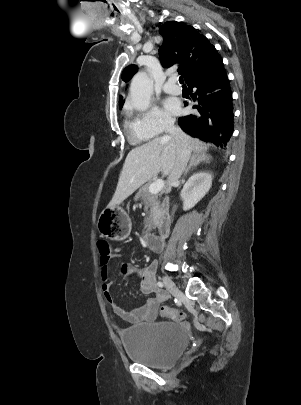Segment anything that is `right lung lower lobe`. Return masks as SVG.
Returning a JSON list of instances; mask_svg holds the SVG:
<instances>
[{
  "instance_id": "right-lung-lower-lobe-1",
  "label": "right lung lower lobe",
  "mask_w": 301,
  "mask_h": 405,
  "mask_svg": "<svg viewBox=\"0 0 301 405\" xmlns=\"http://www.w3.org/2000/svg\"><path fill=\"white\" fill-rule=\"evenodd\" d=\"M187 85L192 98L197 99L196 114L178 119L179 126L191 136L225 148L234 131L232 92L222 59Z\"/></svg>"
}]
</instances>
